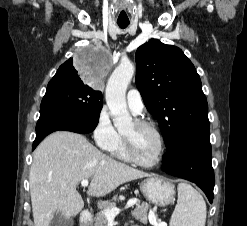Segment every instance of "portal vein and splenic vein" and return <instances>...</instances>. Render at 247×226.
I'll list each match as a JSON object with an SVG mask.
<instances>
[{
    "label": "portal vein and splenic vein",
    "instance_id": "obj_1",
    "mask_svg": "<svg viewBox=\"0 0 247 226\" xmlns=\"http://www.w3.org/2000/svg\"><path fill=\"white\" fill-rule=\"evenodd\" d=\"M88 183H89V181L87 179H84V180L81 181V186L82 187H87ZM136 203H137V199L136 198L130 199L127 202L125 208H129V207L135 205ZM120 211L121 210L119 208L115 207V208H112L110 210H106L105 211V216H106L107 220H113L120 213ZM161 226H167V225H166V223H163V224H161Z\"/></svg>",
    "mask_w": 247,
    "mask_h": 226
}]
</instances>
